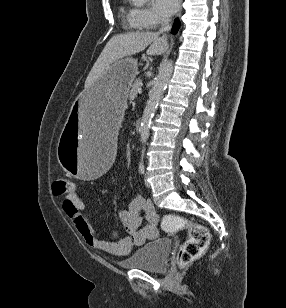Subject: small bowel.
<instances>
[{
    "label": "small bowel",
    "instance_id": "1",
    "mask_svg": "<svg viewBox=\"0 0 286 308\" xmlns=\"http://www.w3.org/2000/svg\"><path fill=\"white\" fill-rule=\"evenodd\" d=\"M62 206L85 242L109 255H127L135 247L158 237L159 216L152 201L144 196L134 198L129 208L119 213L120 222L127 232L126 237H119L115 231L106 237L102 236L92 225L89 215H83L85 202L74 192L65 197Z\"/></svg>",
    "mask_w": 286,
    "mask_h": 308
}]
</instances>
